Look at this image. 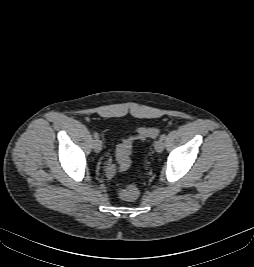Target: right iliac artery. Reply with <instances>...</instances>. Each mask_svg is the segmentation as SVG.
<instances>
[{
	"label": "right iliac artery",
	"mask_w": 254,
	"mask_h": 267,
	"mask_svg": "<svg viewBox=\"0 0 254 267\" xmlns=\"http://www.w3.org/2000/svg\"><path fill=\"white\" fill-rule=\"evenodd\" d=\"M93 136H94V138H96V139L99 137V135H98L97 132H94V133H93Z\"/></svg>",
	"instance_id": "obj_1"
}]
</instances>
